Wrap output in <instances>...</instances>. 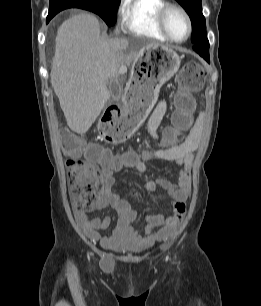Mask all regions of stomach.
<instances>
[{"label": "stomach", "instance_id": "obj_1", "mask_svg": "<svg viewBox=\"0 0 261 306\" xmlns=\"http://www.w3.org/2000/svg\"><path fill=\"white\" fill-rule=\"evenodd\" d=\"M180 64L177 52L166 46L147 47L134 61V75L126 88L120 112L129 135L144 122L157 101L160 88L176 74Z\"/></svg>", "mask_w": 261, "mask_h": 306}]
</instances>
